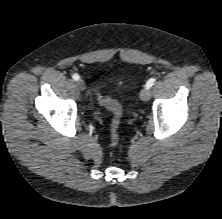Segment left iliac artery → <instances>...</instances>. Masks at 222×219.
<instances>
[{"mask_svg":"<svg viewBox=\"0 0 222 219\" xmlns=\"http://www.w3.org/2000/svg\"><path fill=\"white\" fill-rule=\"evenodd\" d=\"M155 81H156L155 78H150V79L146 82V85H145V86H146L147 88H150V87H152V86L154 85Z\"/></svg>","mask_w":222,"mask_h":219,"instance_id":"obj_1","label":"left iliac artery"}]
</instances>
